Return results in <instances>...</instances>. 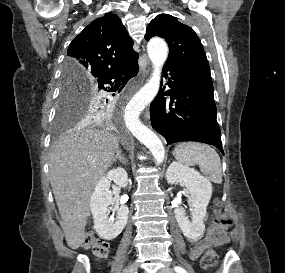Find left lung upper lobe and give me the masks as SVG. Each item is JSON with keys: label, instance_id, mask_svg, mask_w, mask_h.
Wrapping results in <instances>:
<instances>
[{"label": "left lung upper lobe", "instance_id": "obj_1", "mask_svg": "<svg viewBox=\"0 0 285 273\" xmlns=\"http://www.w3.org/2000/svg\"><path fill=\"white\" fill-rule=\"evenodd\" d=\"M159 36L169 44L166 64L173 65L183 75L204 82H211L206 53L194 30L168 14L156 16L148 25L145 39Z\"/></svg>", "mask_w": 285, "mask_h": 273}]
</instances>
